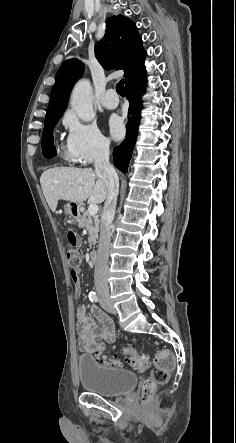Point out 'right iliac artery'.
I'll return each mask as SVG.
<instances>
[{
	"mask_svg": "<svg viewBox=\"0 0 236 443\" xmlns=\"http://www.w3.org/2000/svg\"><path fill=\"white\" fill-rule=\"evenodd\" d=\"M89 299L91 302H97L99 300V297L95 292L92 291L89 293Z\"/></svg>",
	"mask_w": 236,
	"mask_h": 443,
	"instance_id": "1",
	"label": "right iliac artery"
}]
</instances>
